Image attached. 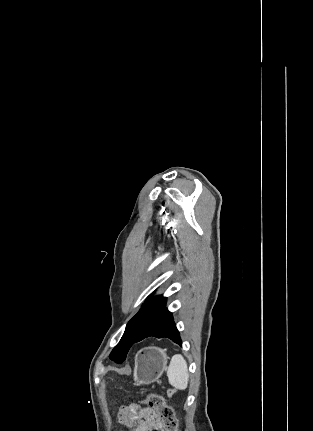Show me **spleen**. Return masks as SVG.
I'll return each instance as SVG.
<instances>
[{"label":"spleen","mask_w":313,"mask_h":431,"mask_svg":"<svg viewBox=\"0 0 313 431\" xmlns=\"http://www.w3.org/2000/svg\"><path fill=\"white\" fill-rule=\"evenodd\" d=\"M169 383L176 389L184 390L188 387L189 374L187 363L182 355H174L167 368Z\"/></svg>","instance_id":"3e777b00"}]
</instances>
